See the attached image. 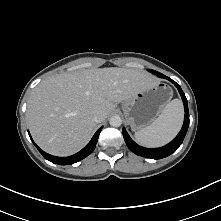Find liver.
<instances>
[{"label": "liver", "instance_id": "obj_1", "mask_svg": "<svg viewBox=\"0 0 221 221\" xmlns=\"http://www.w3.org/2000/svg\"><path fill=\"white\" fill-rule=\"evenodd\" d=\"M156 83L144 70L117 67L49 77L33 89L28 100L31 135L52 155H72L91 139L95 114L105 120L117 103Z\"/></svg>", "mask_w": 221, "mask_h": 221}]
</instances>
